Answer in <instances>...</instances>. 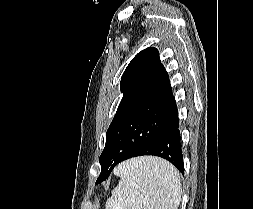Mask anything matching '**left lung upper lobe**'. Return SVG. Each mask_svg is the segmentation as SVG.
Segmentation results:
<instances>
[{
	"label": "left lung upper lobe",
	"instance_id": "1",
	"mask_svg": "<svg viewBox=\"0 0 253 209\" xmlns=\"http://www.w3.org/2000/svg\"><path fill=\"white\" fill-rule=\"evenodd\" d=\"M120 86L124 95L106 133L101 173L137 153L177 111L169 76L153 47L131 60Z\"/></svg>",
	"mask_w": 253,
	"mask_h": 209
}]
</instances>
